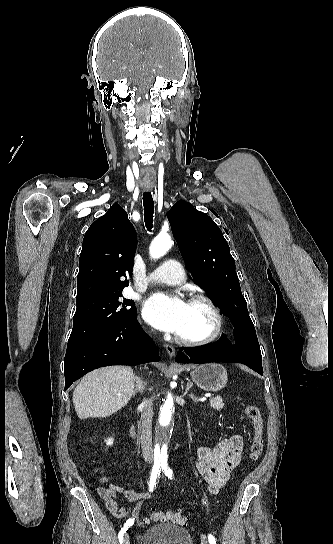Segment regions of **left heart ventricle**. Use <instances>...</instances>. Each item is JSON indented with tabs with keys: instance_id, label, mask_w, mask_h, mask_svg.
Returning <instances> with one entry per match:
<instances>
[{
	"instance_id": "left-heart-ventricle-1",
	"label": "left heart ventricle",
	"mask_w": 333,
	"mask_h": 544,
	"mask_svg": "<svg viewBox=\"0 0 333 544\" xmlns=\"http://www.w3.org/2000/svg\"><path fill=\"white\" fill-rule=\"evenodd\" d=\"M213 327L214 317L204 304L188 303L184 322L178 335L199 339L209 335Z\"/></svg>"
}]
</instances>
